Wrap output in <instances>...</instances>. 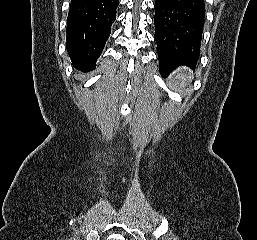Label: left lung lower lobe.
<instances>
[{"label": "left lung lower lobe", "mask_w": 257, "mask_h": 240, "mask_svg": "<svg viewBox=\"0 0 257 240\" xmlns=\"http://www.w3.org/2000/svg\"><path fill=\"white\" fill-rule=\"evenodd\" d=\"M204 23V0L155 1L154 37L163 76L180 65L194 69L200 55Z\"/></svg>", "instance_id": "0a47b994"}]
</instances>
